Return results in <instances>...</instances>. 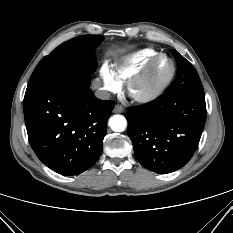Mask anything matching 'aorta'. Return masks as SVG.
Listing matches in <instances>:
<instances>
[{
	"label": "aorta",
	"mask_w": 233,
	"mask_h": 233,
	"mask_svg": "<svg viewBox=\"0 0 233 233\" xmlns=\"http://www.w3.org/2000/svg\"><path fill=\"white\" fill-rule=\"evenodd\" d=\"M127 121L122 115H114L109 119V126L115 132H122L125 130Z\"/></svg>",
	"instance_id": "762f6f07"
}]
</instances>
